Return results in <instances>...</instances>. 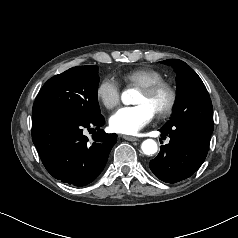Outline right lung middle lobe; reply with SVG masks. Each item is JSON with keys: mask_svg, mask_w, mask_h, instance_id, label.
I'll use <instances>...</instances> for the list:
<instances>
[{"mask_svg": "<svg viewBox=\"0 0 238 238\" xmlns=\"http://www.w3.org/2000/svg\"><path fill=\"white\" fill-rule=\"evenodd\" d=\"M96 65L73 67L49 79L40 90L32 115H68L83 120L101 115Z\"/></svg>", "mask_w": 238, "mask_h": 238, "instance_id": "obj_1", "label": "right lung middle lobe"}]
</instances>
